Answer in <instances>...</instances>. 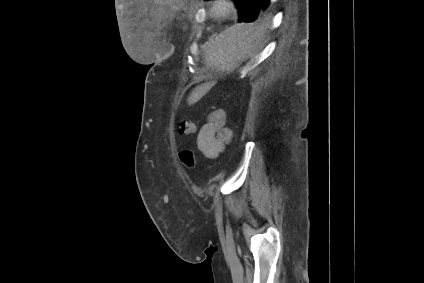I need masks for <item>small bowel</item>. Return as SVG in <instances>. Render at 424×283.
I'll return each mask as SVG.
<instances>
[{"mask_svg": "<svg viewBox=\"0 0 424 283\" xmlns=\"http://www.w3.org/2000/svg\"><path fill=\"white\" fill-rule=\"evenodd\" d=\"M225 118L222 109L213 110L198 132L197 148L207 158H217L224 151L226 143L231 140L232 133L225 127Z\"/></svg>", "mask_w": 424, "mask_h": 283, "instance_id": "c3829d8e", "label": "small bowel"}]
</instances>
